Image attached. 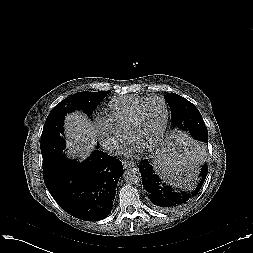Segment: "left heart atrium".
I'll list each match as a JSON object with an SVG mask.
<instances>
[{"instance_id": "39dd6f15", "label": "left heart atrium", "mask_w": 253, "mask_h": 253, "mask_svg": "<svg viewBox=\"0 0 253 253\" xmlns=\"http://www.w3.org/2000/svg\"><path fill=\"white\" fill-rule=\"evenodd\" d=\"M138 150H139V146L136 145V144H134V143H132V144L128 147V149L126 150V152H127V154H132V153L137 152Z\"/></svg>"}]
</instances>
